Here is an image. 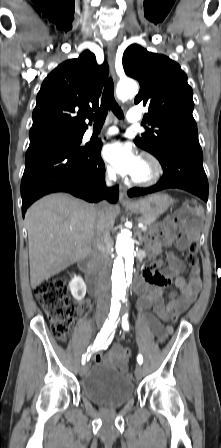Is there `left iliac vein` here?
Listing matches in <instances>:
<instances>
[{
    "mask_svg": "<svg viewBox=\"0 0 221 448\" xmlns=\"http://www.w3.org/2000/svg\"><path fill=\"white\" fill-rule=\"evenodd\" d=\"M135 376L137 379H141L143 376V368L141 365H137L136 369H135Z\"/></svg>",
    "mask_w": 221,
    "mask_h": 448,
    "instance_id": "1",
    "label": "left iliac vein"
}]
</instances>
